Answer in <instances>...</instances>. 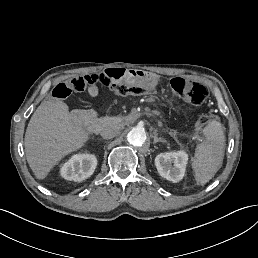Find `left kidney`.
<instances>
[{"mask_svg":"<svg viewBox=\"0 0 258 258\" xmlns=\"http://www.w3.org/2000/svg\"><path fill=\"white\" fill-rule=\"evenodd\" d=\"M188 160L189 154L184 150L169 151L156 155L155 165L161 177L177 183L185 176Z\"/></svg>","mask_w":258,"mask_h":258,"instance_id":"5707ae66","label":"left kidney"}]
</instances>
